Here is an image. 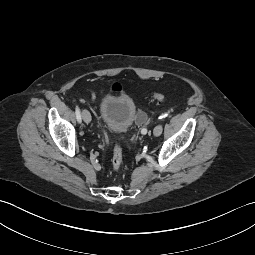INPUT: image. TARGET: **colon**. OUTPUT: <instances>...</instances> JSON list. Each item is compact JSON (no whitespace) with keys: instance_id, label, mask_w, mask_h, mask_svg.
I'll use <instances>...</instances> for the list:
<instances>
[{"instance_id":"5ec220e1","label":"colon","mask_w":255,"mask_h":255,"mask_svg":"<svg viewBox=\"0 0 255 255\" xmlns=\"http://www.w3.org/2000/svg\"><path fill=\"white\" fill-rule=\"evenodd\" d=\"M122 86L119 83H115L112 87L114 91H119L121 90ZM153 98L158 101V102H164L165 97L160 94V93H154ZM146 118L144 116H141L139 118L140 122H144ZM123 163V152H122V147L119 142H116L114 145V150H113V156H112V161H111V167L114 172H117Z\"/></svg>"}]
</instances>
